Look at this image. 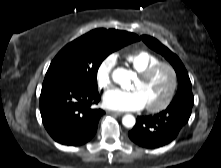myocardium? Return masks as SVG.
<instances>
[{"label":"myocardium","mask_w":221,"mask_h":168,"mask_svg":"<svg viewBox=\"0 0 221 168\" xmlns=\"http://www.w3.org/2000/svg\"><path fill=\"white\" fill-rule=\"evenodd\" d=\"M161 68H166L169 70L170 75H171V85H170L169 91L163 101H161L160 103H158L156 105H146L147 110L150 112H159V111L165 109L166 107H168L170 105V103L172 102V100L176 94L177 88H178L177 70L169 62H162L161 61L159 63H156V64L148 67L144 71L138 73V78L142 81H146L149 78H151Z\"/></svg>","instance_id":"f54148a6"}]
</instances>
